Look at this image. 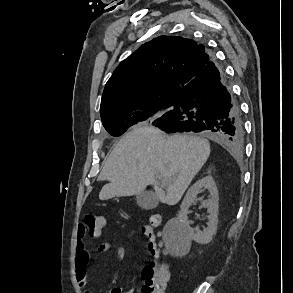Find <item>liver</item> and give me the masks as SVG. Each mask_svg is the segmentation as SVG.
Segmentation results:
<instances>
[{
  "instance_id": "6515ba94",
  "label": "liver",
  "mask_w": 293,
  "mask_h": 293,
  "mask_svg": "<svg viewBox=\"0 0 293 293\" xmlns=\"http://www.w3.org/2000/svg\"><path fill=\"white\" fill-rule=\"evenodd\" d=\"M209 155L210 144L204 138L166 136L152 126H135L105 161L99 180L109 183L101 189L99 199L138 195L151 185L162 203L176 205Z\"/></svg>"
}]
</instances>
